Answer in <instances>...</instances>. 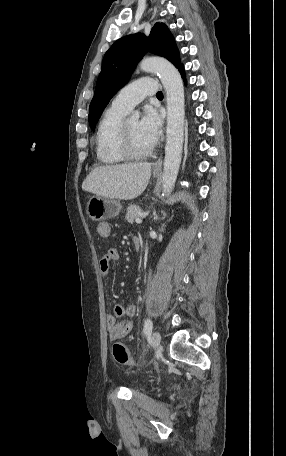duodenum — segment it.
<instances>
[{
    "mask_svg": "<svg viewBox=\"0 0 286 456\" xmlns=\"http://www.w3.org/2000/svg\"><path fill=\"white\" fill-rule=\"evenodd\" d=\"M133 245L135 250H140L141 249V239L139 237H134L133 238Z\"/></svg>",
    "mask_w": 286,
    "mask_h": 456,
    "instance_id": "1",
    "label": "duodenum"
}]
</instances>
